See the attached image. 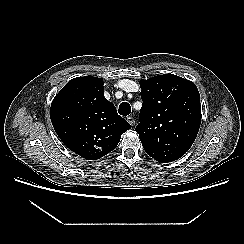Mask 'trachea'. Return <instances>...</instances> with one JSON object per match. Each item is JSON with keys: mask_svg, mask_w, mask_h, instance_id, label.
<instances>
[{"mask_svg": "<svg viewBox=\"0 0 244 244\" xmlns=\"http://www.w3.org/2000/svg\"><path fill=\"white\" fill-rule=\"evenodd\" d=\"M118 112L122 116H127L131 113V106L127 102H122L119 106Z\"/></svg>", "mask_w": 244, "mask_h": 244, "instance_id": "1", "label": "trachea"}]
</instances>
